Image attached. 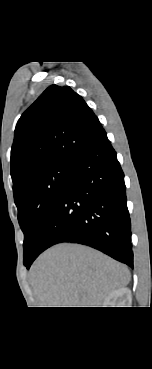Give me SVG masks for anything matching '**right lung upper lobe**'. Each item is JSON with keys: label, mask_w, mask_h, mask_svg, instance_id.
<instances>
[{"label": "right lung upper lobe", "mask_w": 152, "mask_h": 369, "mask_svg": "<svg viewBox=\"0 0 152 369\" xmlns=\"http://www.w3.org/2000/svg\"><path fill=\"white\" fill-rule=\"evenodd\" d=\"M104 133L80 95L69 86L48 87L16 125L11 150L13 191L36 170L72 162Z\"/></svg>", "instance_id": "cb5924a9"}]
</instances>
